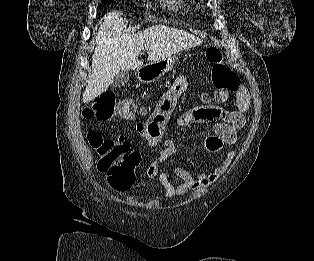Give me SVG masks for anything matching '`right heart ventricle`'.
<instances>
[{
  "mask_svg": "<svg viewBox=\"0 0 314 261\" xmlns=\"http://www.w3.org/2000/svg\"><path fill=\"white\" fill-rule=\"evenodd\" d=\"M165 3L173 9H182L186 6L187 0H165Z\"/></svg>",
  "mask_w": 314,
  "mask_h": 261,
  "instance_id": "obj_1",
  "label": "right heart ventricle"
}]
</instances>
